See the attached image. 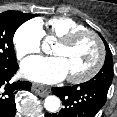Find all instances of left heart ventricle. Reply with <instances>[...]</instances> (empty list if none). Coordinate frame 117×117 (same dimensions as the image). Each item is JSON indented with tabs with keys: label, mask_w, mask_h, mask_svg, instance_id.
Returning a JSON list of instances; mask_svg holds the SVG:
<instances>
[{
	"label": "left heart ventricle",
	"mask_w": 117,
	"mask_h": 117,
	"mask_svg": "<svg viewBox=\"0 0 117 117\" xmlns=\"http://www.w3.org/2000/svg\"><path fill=\"white\" fill-rule=\"evenodd\" d=\"M52 53L62 60L67 76H80L96 63L98 46L91 36H83L70 46L56 43Z\"/></svg>",
	"instance_id": "left-heart-ventricle-1"
}]
</instances>
